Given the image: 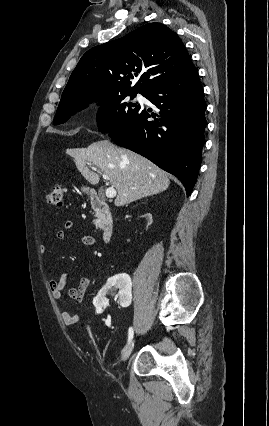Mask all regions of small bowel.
<instances>
[{"instance_id":"obj_1","label":"small bowel","mask_w":269,"mask_h":426,"mask_svg":"<svg viewBox=\"0 0 269 426\" xmlns=\"http://www.w3.org/2000/svg\"><path fill=\"white\" fill-rule=\"evenodd\" d=\"M74 227L72 221H66L63 225V229L57 231L56 239L63 240L66 237V233L71 231ZM78 240L87 246H94L96 243L95 237L91 235H80ZM41 251L45 252L46 247L41 246ZM69 278V272L66 271L62 273L59 278L50 277L48 279V287L51 291L52 297L55 301L59 303V309L62 316V320L66 324H74L79 320V315L77 313L71 312L63 303H61L64 289L67 285V281ZM92 283V279L89 276H84L79 278L76 286L70 288L67 291V296L74 300H83L87 295L88 289L90 288Z\"/></svg>"}]
</instances>
